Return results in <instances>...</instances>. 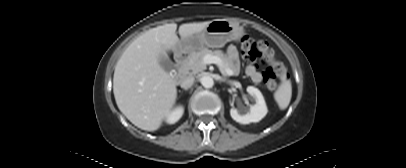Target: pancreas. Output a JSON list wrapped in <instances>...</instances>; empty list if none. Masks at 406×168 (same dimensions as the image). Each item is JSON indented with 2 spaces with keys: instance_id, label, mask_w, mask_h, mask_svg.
<instances>
[{
  "instance_id": "cf45deb5",
  "label": "pancreas",
  "mask_w": 406,
  "mask_h": 168,
  "mask_svg": "<svg viewBox=\"0 0 406 168\" xmlns=\"http://www.w3.org/2000/svg\"><path fill=\"white\" fill-rule=\"evenodd\" d=\"M206 55L217 56L218 58L221 59L222 65L224 68H229V69L231 68L229 59L226 57V55L221 50L212 51V50H209L208 48H203L200 51L194 52L191 54L188 62L184 65V68H183L184 73L197 74V73L205 70L206 64H204L203 58Z\"/></svg>"
}]
</instances>
